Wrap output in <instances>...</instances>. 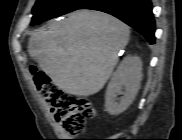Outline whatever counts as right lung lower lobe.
<instances>
[{
	"mask_svg": "<svg viewBox=\"0 0 182 140\" xmlns=\"http://www.w3.org/2000/svg\"><path fill=\"white\" fill-rule=\"evenodd\" d=\"M79 9L109 13L133 27L150 44L155 43V21L151 0H89Z\"/></svg>",
	"mask_w": 182,
	"mask_h": 140,
	"instance_id": "98d812e1",
	"label": "right lung lower lobe"
}]
</instances>
